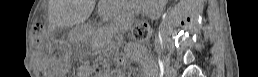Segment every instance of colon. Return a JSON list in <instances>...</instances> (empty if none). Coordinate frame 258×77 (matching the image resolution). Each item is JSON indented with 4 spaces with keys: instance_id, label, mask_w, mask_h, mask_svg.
Instances as JSON below:
<instances>
[{
    "instance_id": "5ec220e1",
    "label": "colon",
    "mask_w": 258,
    "mask_h": 77,
    "mask_svg": "<svg viewBox=\"0 0 258 77\" xmlns=\"http://www.w3.org/2000/svg\"><path fill=\"white\" fill-rule=\"evenodd\" d=\"M152 30L149 24L139 23L131 29V38L137 43L147 44L151 40ZM33 37L39 47L45 46L49 42V35L45 24L42 21H36L33 25Z\"/></svg>"
}]
</instances>
